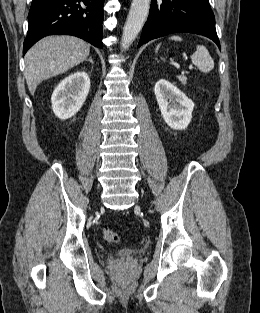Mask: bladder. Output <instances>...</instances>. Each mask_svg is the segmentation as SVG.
Wrapping results in <instances>:
<instances>
[{
	"instance_id": "obj_1",
	"label": "bladder",
	"mask_w": 260,
	"mask_h": 313,
	"mask_svg": "<svg viewBox=\"0 0 260 313\" xmlns=\"http://www.w3.org/2000/svg\"><path fill=\"white\" fill-rule=\"evenodd\" d=\"M140 252V247L138 246H133V247H129V248H125L123 250H120L117 253V256H121V257H128V256H132V255H136Z\"/></svg>"
}]
</instances>
